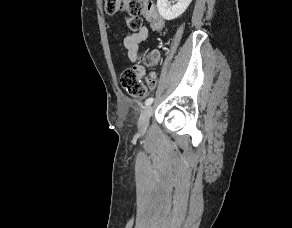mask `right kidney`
<instances>
[{"label":"right kidney","mask_w":292,"mask_h":228,"mask_svg":"<svg viewBox=\"0 0 292 228\" xmlns=\"http://www.w3.org/2000/svg\"><path fill=\"white\" fill-rule=\"evenodd\" d=\"M192 0H178L175 5H170L168 0H157V8L165 20H173L182 15Z\"/></svg>","instance_id":"ca27d5eb"}]
</instances>
